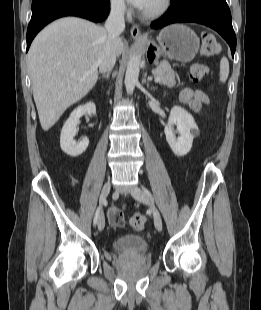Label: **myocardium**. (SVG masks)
I'll return each mask as SVG.
<instances>
[{
    "label": "myocardium",
    "instance_id": "myocardium-1",
    "mask_svg": "<svg viewBox=\"0 0 261 310\" xmlns=\"http://www.w3.org/2000/svg\"><path fill=\"white\" fill-rule=\"evenodd\" d=\"M171 4H172V0H160L156 8L150 11H142L140 13V16L146 20L159 18L170 9Z\"/></svg>",
    "mask_w": 261,
    "mask_h": 310
}]
</instances>
